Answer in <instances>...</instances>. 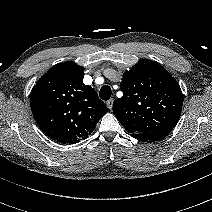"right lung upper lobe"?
Returning <instances> with one entry per match:
<instances>
[{"label":"right lung upper lobe","instance_id":"right-lung-upper-lobe-1","mask_svg":"<svg viewBox=\"0 0 212 212\" xmlns=\"http://www.w3.org/2000/svg\"><path fill=\"white\" fill-rule=\"evenodd\" d=\"M83 67L74 62L55 65L33 87L30 106L41 130L62 144L77 143L91 134L107 107L83 83Z\"/></svg>","mask_w":212,"mask_h":212}]
</instances>
